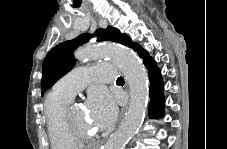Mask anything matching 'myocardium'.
Here are the masks:
<instances>
[{"label": "myocardium", "mask_w": 227, "mask_h": 149, "mask_svg": "<svg viewBox=\"0 0 227 149\" xmlns=\"http://www.w3.org/2000/svg\"><path fill=\"white\" fill-rule=\"evenodd\" d=\"M76 106L70 103L64 112V124L68 134L75 139L77 142H87L94 138L91 133L80 130L73 119V110Z\"/></svg>", "instance_id": "1"}]
</instances>
